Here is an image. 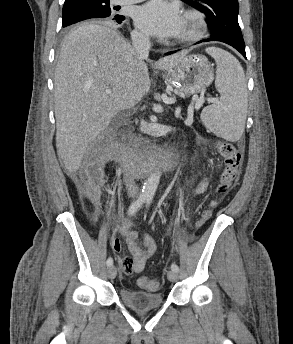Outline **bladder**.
I'll list each match as a JSON object with an SVG mask.
<instances>
[{
	"label": "bladder",
	"instance_id": "obj_1",
	"mask_svg": "<svg viewBox=\"0 0 293 344\" xmlns=\"http://www.w3.org/2000/svg\"><path fill=\"white\" fill-rule=\"evenodd\" d=\"M120 298L124 304L137 311L158 308L164 302V296L161 293L138 291L125 287L120 289Z\"/></svg>",
	"mask_w": 293,
	"mask_h": 344
}]
</instances>
